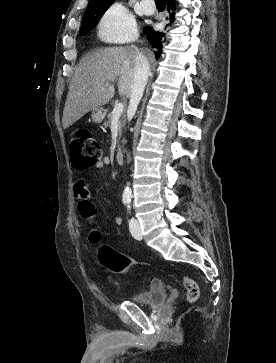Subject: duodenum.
Masks as SVG:
<instances>
[{
  "label": "duodenum",
  "instance_id": "1",
  "mask_svg": "<svg viewBox=\"0 0 276 363\" xmlns=\"http://www.w3.org/2000/svg\"><path fill=\"white\" fill-rule=\"evenodd\" d=\"M115 158L117 163L122 164L125 158L124 152L122 150H117Z\"/></svg>",
  "mask_w": 276,
  "mask_h": 363
}]
</instances>
